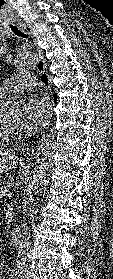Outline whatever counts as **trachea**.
<instances>
[{"instance_id":"trachea-1","label":"trachea","mask_w":113,"mask_h":279,"mask_svg":"<svg viewBox=\"0 0 113 279\" xmlns=\"http://www.w3.org/2000/svg\"><path fill=\"white\" fill-rule=\"evenodd\" d=\"M10 28H11L12 32L15 33L17 36L24 37V38H27V37H28L26 34H24L22 31H20L17 27L11 26ZM41 80H42V82H44L45 84L48 83V79H47L46 74H43V75L41 76Z\"/></svg>"}]
</instances>
